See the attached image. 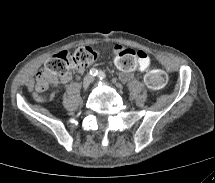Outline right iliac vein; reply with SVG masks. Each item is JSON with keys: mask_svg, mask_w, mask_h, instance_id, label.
I'll use <instances>...</instances> for the list:
<instances>
[{"mask_svg": "<svg viewBox=\"0 0 215 183\" xmlns=\"http://www.w3.org/2000/svg\"><path fill=\"white\" fill-rule=\"evenodd\" d=\"M91 78H90V76H86L84 79H83V82H82V86H83V90L84 91H86L88 88H89V86H90V84H91Z\"/></svg>", "mask_w": 215, "mask_h": 183, "instance_id": "right-iliac-vein-1", "label": "right iliac vein"}]
</instances>
